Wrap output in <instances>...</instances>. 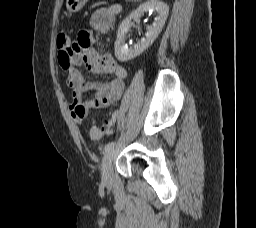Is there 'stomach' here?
Returning <instances> with one entry per match:
<instances>
[{"label":"stomach","mask_w":256,"mask_h":228,"mask_svg":"<svg viewBox=\"0 0 256 228\" xmlns=\"http://www.w3.org/2000/svg\"><path fill=\"white\" fill-rule=\"evenodd\" d=\"M88 2V0H66V8L70 12H77Z\"/></svg>","instance_id":"1"}]
</instances>
